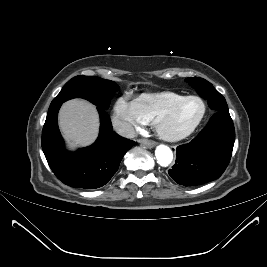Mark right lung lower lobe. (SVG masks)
I'll use <instances>...</instances> for the list:
<instances>
[{
	"label": "right lung lower lobe",
	"instance_id": "obj_1",
	"mask_svg": "<svg viewBox=\"0 0 267 267\" xmlns=\"http://www.w3.org/2000/svg\"><path fill=\"white\" fill-rule=\"evenodd\" d=\"M60 106L49 107L42 132V149L50 168L68 186L83 189L102 187L116 173L124 154L136 142L113 132L105 109L97 107L101 120L98 139L87 148L67 152L57 125Z\"/></svg>",
	"mask_w": 267,
	"mask_h": 267
}]
</instances>
